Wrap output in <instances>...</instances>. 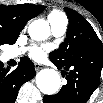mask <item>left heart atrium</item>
Wrapping results in <instances>:
<instances>
[{
    "mask_svg": "<svg viewBox=\"0 0 103 103\" xmlns=\"http://www.w3.org/2000/svg\"><path fill=\"white\" fill-rule=\"evenodd\" d=\"M29 54L34 60H42L45 57V50L42 47L33 46L30 48Z\"/></svg>",
    "mask_w": 103,
    "mask_h": 103,
    "instance_id": "1",
    "label": "left heart atrium"
}]
</instances>
